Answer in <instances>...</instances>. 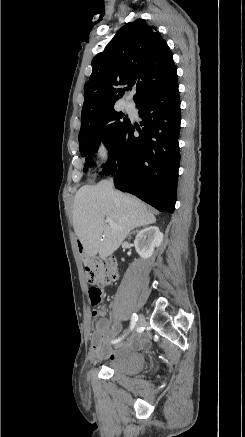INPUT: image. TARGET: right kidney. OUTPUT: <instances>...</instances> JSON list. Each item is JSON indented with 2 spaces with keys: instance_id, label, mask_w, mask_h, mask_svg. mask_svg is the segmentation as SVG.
I'll return each instance as SVG.
<instances>
[{
  "instance_id": "right-kidney-1",
  "label": "right kidney",
  "mask_w": 245,
  "mask_h": 437,
  "mask_svg": "<svg viewBox=\"0 0 245 437\" xmlns=\"http://www.w3.org/2000/svg\"><path fill=\"white\" fill-rule=\"evenodd\" d=\"M163 240V234L156 226H150L138 232L134 245L137 253L143 259L153 255L155 247H158Z\"/></svg>"
}]
</instances>
